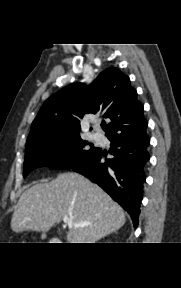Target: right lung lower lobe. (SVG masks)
<instances>
[{"instance_id": "obj_1", "label": "right lung lower lobe", "mask_w": 181, "mask_h": 288, "mask_svg": "<svg viewBox=\"0 0 181 288\" xmlns=\"http://www.w3.org/2000/svg\"><path fill=\"white\" fill-rule=\"evenodd\" d=\"M108 139L111 141L109 153L114 158L102 162L105 154L97 148L92 156L72 168L102 187L129 213L137 227L150 139L146 131L120 133Z\"/></svg>"}]
</instances>
